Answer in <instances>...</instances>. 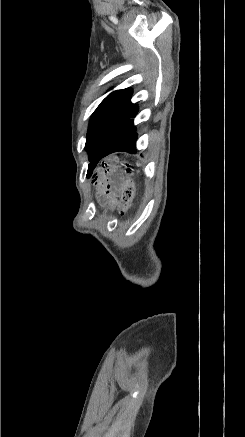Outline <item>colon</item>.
I'll use <instances>...</instances> for the list:
<instances>
[{
  "label": "colon",
  "instance_id": "colon-1",
  "mask_svg": "<svg viewBox=\"0 0 245 437\" xmlns=\"http://www.w3.org/2000/svg\"><path fill=\"white\" fill-rule=\"evenodd\" d=\"M135 194V186L131 178V171H127V178L125 184L121 191V210L122 212L126 211L134 197Z\"/></svg>",
  "mask_w": 245,
  "mask_h": 437
}]
</instances>
